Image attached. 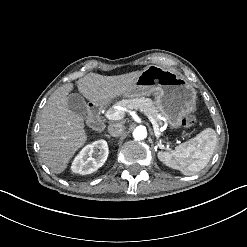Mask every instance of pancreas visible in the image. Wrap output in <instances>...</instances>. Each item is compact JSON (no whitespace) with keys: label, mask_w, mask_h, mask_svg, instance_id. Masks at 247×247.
<instances>
[{"label":"pancreas","mask_w":247,"mask_h":247,"mask_svg":"<svg viewBox=\"0 0 247 247\" xmlns=\"http://www.w3.org/2000/svg\"><path fill=\"white\" fill-rule=\"evenodd\" d=\"M119 108H122L125 111L141 108L142 110L152 115L156 119L160 115L158 104L153 102L151 99L144 98V97L136 98V99H129V100L124 99V100L118 101L114 105L110 106L106 110V113L116 112ZM159 123L161 124L162 122L159 121Z\"/></svg>","instance_id":"1"}]
</instances>
